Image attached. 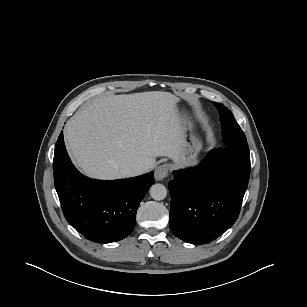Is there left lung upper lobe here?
Here are the masks:
<instances>
[{
	"mask_svg": "<svg viewBox=\"0 0 307 307\" xmlns=\"http://www.w3.org/2000/svg\"><path fill=\"white\" fill-rule=\"evenodd\" d=\"M214 105L219 111L225 147L234 148L248 154L249 147L246 136L239 124L236 122L233 114L220 103L214 102Z\"/></svg>",
	"mask_w": 307,
	"mask_h": 307,
	"instance_id": "1",
	"label": "left lung upper lobe"
}]
</instances>
